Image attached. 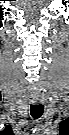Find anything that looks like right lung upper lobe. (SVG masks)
Returning a JSON list of instances; mask_svg holds the SVG:
<instances>
[{
    "mask_svg": "<svg viewBox=\"0 0 69 135\" xmlns=\"http://www.w3.org/2000/svg\"><path fill=\"white\" fill-rule=\"evenodd\" d=\"M6 130H11V127L8 125V126L6 127Z\"/></svg>",
    "mask_w": 69,
    "mask_h": 135,
    "instance_id": "1",
    "label": "right lung upper lobe"
}]
</instances>
